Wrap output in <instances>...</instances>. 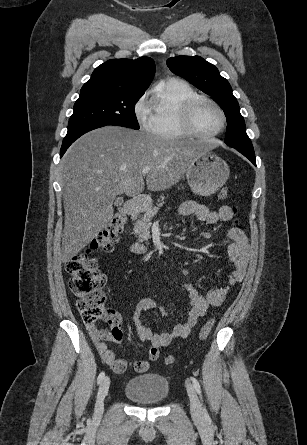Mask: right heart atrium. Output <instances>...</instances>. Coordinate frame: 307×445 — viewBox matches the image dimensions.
<instances>
[{"label":"right heart atrium","mask_w":307,"mask_h":445,"mask_svg":"<svg viewBox=\"0 0 307 445\" xmlns=\"http://www.w3.org/2000/svg\"><path fill=\"white\" fill-rule=\"evenodd\" d=\"M152 96L151 92L142 95L138 102V111H136V119L141 127H146L152 120V113L148 108V102Z\"/></svg>","instance_id":"obj_1"}]
</instances>
